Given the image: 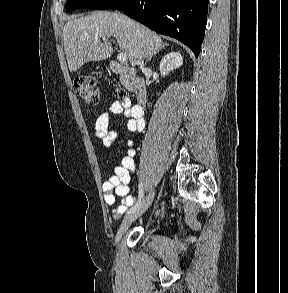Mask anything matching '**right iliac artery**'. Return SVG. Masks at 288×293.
I'll return each instance as SVG.
<instances>
[{
  "mask_svg": "<svg viewBox=\"0 0 288 293\" xmlns=\"http://www.w3.org/2000/svg\"><path fill=\"white\" fill-rule=\"evenodd\" d=\"M143 197H144V190H143V184H142V182L139 184V195H138V201H137V203L133 206V207H131L129 210H128V212H127V214H131V213H133L134 211H136L140 206H141V204H142V202H143Z\"/></svg>",
  "mask_w": 288,
  "mask_h": 293,
  "instance_id": "right-iliac-artery-1",
  "label": "right iliac artery"
}]
</instances>
